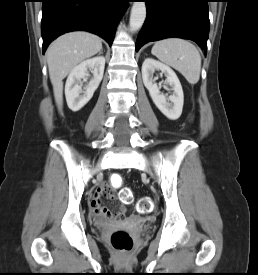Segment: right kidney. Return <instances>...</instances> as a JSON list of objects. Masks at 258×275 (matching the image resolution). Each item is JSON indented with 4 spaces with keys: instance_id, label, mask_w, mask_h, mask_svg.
I'll return each instance as SVG.
<instances>
[{
    "instance_id": "1",
    "label": "right kidney",
    "mask_w": 258,
    "mask_h": 275,
    "mask_svg": "<svg viewBox=\"0 0 258 275\" xmlns=\"http://www.w3.org/2000/svg\"><path fill=\"white\" fill-rule=\"evenodd\" d=\"M105 58L103 56L85 60L74 67L65 84V96L68 107L76 112L92 98L104 74ZM93 71V78L82 91L81 80L87 75V70Z\"/></svg>"
}]
</instances>
